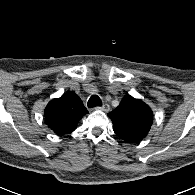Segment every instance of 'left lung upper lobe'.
Segmentation results:
<instances>
[{
    "instance_id": "left-lung-upper-lobe-1",
    "label": "left lung upper lobe",
    "mask_w": 195,
    "mask_h": 195,
    "mask_svg": "<svg viewBox=\"0 0 195 195\" xmlns=\"http://www.w3.org/2000/svg\"><path fill=\"white\" fill-rule=\"evenodd\" d=\"M108 116L113 122L116 135L128 143H139L145 138L153 122L150 107L130 95L125 96Z\"/></svg>"
}]
</instances>
